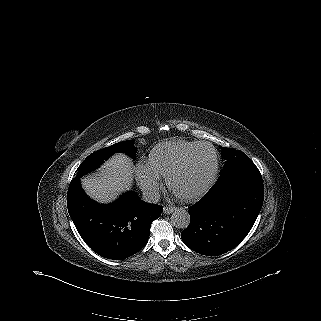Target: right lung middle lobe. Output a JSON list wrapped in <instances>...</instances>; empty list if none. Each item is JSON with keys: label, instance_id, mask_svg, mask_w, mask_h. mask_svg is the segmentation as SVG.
Listing matches in <instances>:
<instances>
[{"label": "right lung middle lobe", "instance_id": "dd1d6c3e", "mask_svg": "<svg viewBox=\"0 0 321 321\" xmlns=\"http://www.w3.org/2000/svg\"><path fill=\"white\" fill-rule=\"evenodd\" d=\"M114 153H125L129 155L131 158H135L136 148L134 147L132 140H127L116 143L107 148L98 150L85 158V160L76 170V178L79 179L84 174L95 170L104 162V160L108 159Z\"/></svg>", "mask_w": 321, "mask_h": 321}]
</instances>
